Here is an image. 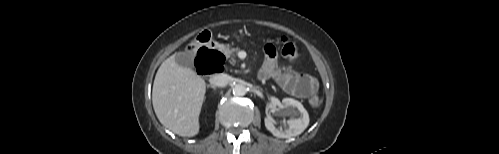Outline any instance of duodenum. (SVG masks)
<instances>
[{
    "mask_svg": "<svg viewBox=\"0 0 499 154\" xmlns=\"http://www.w3.org/2000/svg\"><path fill=\"white\" fill-rule=\"evenodd\" d=\"M213 59L207 57L206 55L199 56L196 63V68L198 73L200 74H213L219 71H216L213 66L210 64L213 63Z\"/></svg>",
    "mask_w": 499,
    "mask_h": 154,
    "instance_id": "1",
    "label": "duodenum"
}]
</instances>
